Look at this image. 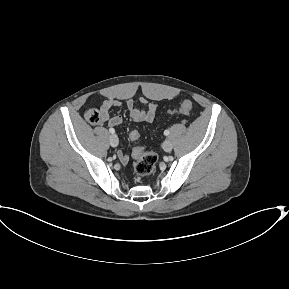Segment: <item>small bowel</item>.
<instances>
[{"label": "small bowel", "instance_id": "1", "mask_svg": "<svg viewBox=\"0 0 289 289\" xmlns=\"http://www.w3.org/2000/svg\"><path fill=\"white\" fill-rule=\"evenodd\" d=\"M125 104L130 111V116L134 121L149 123L152 122L156 116L157 104L154 102H148L147 100L142 99L141 108L137 107L133 100H127ZM122 105V101L114 99H106L101 105L100 110L104 114L103 121H107L111 128L120 126L122 124V117L118 115L110 117V110L113 107H120ZM118 158L123 164H126L129 161V156L122 151L118 152Z\"/></svg>", "mask_w": 289, "mask_h": 289}]
</instances>
